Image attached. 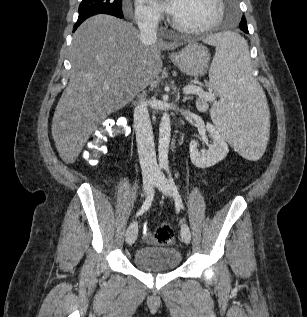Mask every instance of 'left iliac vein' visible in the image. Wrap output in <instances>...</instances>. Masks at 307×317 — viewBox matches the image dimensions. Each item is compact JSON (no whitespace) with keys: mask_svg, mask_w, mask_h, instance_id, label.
<instances>
[{"mask_svg":"<svg viewBox=\"0 0 307 317\" xmlns=\"http://www.w3.org/2000/svg\"><path fill=\"white\" fill-rule=\"evenodd\" d=\"M157 187L166 196L172 195L169 182L163 174H160L157 178ZM181 237H182V240L184 243H186V244L190 243L191 231H190L189 226L186 223H183L181 226Z\"/></svg>","mask_w":307,"mask_h":317,"instance_id":"left-iliac-vein-1","label":"left iliac vein"}]
</instances>
